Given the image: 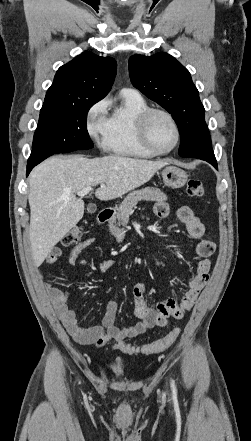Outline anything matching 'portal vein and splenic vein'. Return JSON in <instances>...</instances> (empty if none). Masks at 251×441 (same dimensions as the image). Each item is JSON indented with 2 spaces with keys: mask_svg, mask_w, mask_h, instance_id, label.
Returning <instances> with one entry per match:
<instances>
[{
  "mask_svg": "<svg viewBox=\"0 0 251 441\" xmlns=\"http://www.w3.org/2000/svg\"><path fill=\"white\" fill-rule=\"evenodd\" d=\"M100 186H101V188H104L105 184L101 183ZM91 190H92V187L84 188L83 190L78 191L77 195L80 197H83V196L87 195Z\"/></svg>",
  "mask_w": 251,
  "mask_h": 441,
  "instance_id": "obj_1",
  "label": "portal vein and splenic vein"
}]
</instances>
